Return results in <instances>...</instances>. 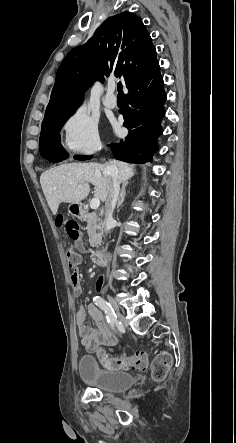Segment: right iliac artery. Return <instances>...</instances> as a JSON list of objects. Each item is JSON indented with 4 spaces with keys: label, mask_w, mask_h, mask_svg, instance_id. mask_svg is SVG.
Instances as JSON below:
<instances>
[{
    "label": "right iliac artery",
    "mask_w": 236,
    "mask_h": 443,
    "mask_svg": "<svg viewBox=\"0 0 236 443\" xmlns=\"http://www.w3.org/2000/svg\"><path fill=\"white\" fill-rule=\"evenodd\" d=\"M93 301L98 307H100L105 312L106 317H107V321L110 323L112 329H114V324L117 319L114 309L111 307V305L107 301H105L100 296L94 297Z\"/></svg>",
    "instance_id": "right-iliac-artery-1"
}]
</instances>
